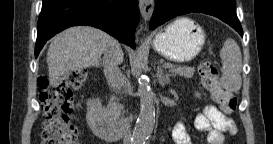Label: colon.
Wrapping results in <instances>:
<instances>
[{"label":"colon","instance_id":"obj_1","mask_svg":"<svg viewBox=\"0 0 273 144\" xmlns=\"http://www.w3.org/2000/svg\"><path fill=\"white\" fill-rule=\"evenodd\" d=\"M204 89L219 105L225 114L233 113L237 108V98L220 81V68L212 61L199 66ZM86 79L84 69H74L61 81L50 84L46 80L40 83V100L45 109V122L42 132L43 144H73L76 142L77 129L70 123L69 116L74 107L72 88H78Z\"/></svg>","mask_w":273,"mask_h":144}]
</instances>
